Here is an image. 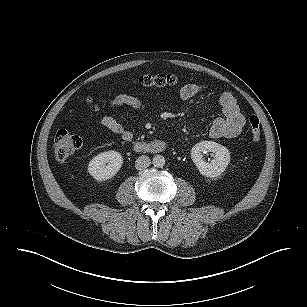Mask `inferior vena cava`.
Here are the masks:
<instances>
[{
    "label": "inferior vena cava",
    "mask_w": 307,
    "mask_h": 307,
    "mask_svg": "<svg viewBox=\"0 0 307 307\" xmlns=\"http://www.w3.org/2000/svg\"><path fill=\"white\" fill-rule=\"evenodd\" d=\"M150 165H151V160L148 156H145V155L138 157L135 162V167L138 170L145 169L149 167Z\"/></svg>",
    "instance_id": "602c4592"
}]
</instances>
